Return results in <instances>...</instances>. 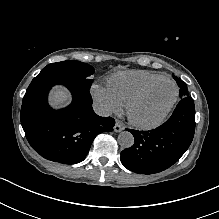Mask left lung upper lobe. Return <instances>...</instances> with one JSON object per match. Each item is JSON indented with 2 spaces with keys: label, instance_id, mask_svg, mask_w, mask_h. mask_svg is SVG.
I'll list each match as a JSON object with an SVG mask.
<instances>
[{
  "label": "left lung upper lobe",
  "instance_id": "obj_1",
  "mask_svg": "<svg viewBox=\"0 0 219 219\" xmlns=\"http://www.w3.org/2000/svg\"><path fill=\"white\" fill-rule=\"evenodd\" d=\"M173 78L177 81L178 86L180 87V98H184L189 96L188 90H187V85L184 81H181L180 79H178L176 76H173Z\"/></svg>",
  "mask_w": 219,
  "mask_h": 219
}]
</instances>
